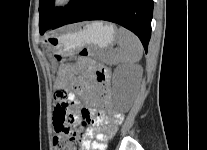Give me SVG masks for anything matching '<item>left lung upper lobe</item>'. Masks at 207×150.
Returning <instances> with one entry per match:
<instances>
[{"label":"left lung upper lobe","mask_w":207,"mask_h":150,"mask_svg":"<svg viewBox=\"0 0 207 150\" xmlns=\"http://www.w3.org/2000/svg\"><path fill=\"white\" fill-rule=\"evenodd\" d=\"M77 0H70L65 7L54 8V0L39 1V29L40 34L52 28Z\"/></svg>","instance_id":"1"}]
</instances>
